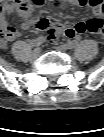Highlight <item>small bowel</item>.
<instances>
[{"label": "small bowel", "instance_id": "1", "mask_svg": "<svg viewBox=\"0 0 104 137\" xmlns=\"http://www.w3.org/2000/svg\"><path fill=\"white\" fill-rule=\"evenodd\" d=\"M44 1L45 0H7L3 4L1 7L0 25L5 30L10 27L12 28V31L8 33L3 41H1L2 47H6L8 42L15 40L20 35L17 30L8 25L6 15L12 11H18L22 29H29L32 26H36L37 28L41 29L39 27L40 23H44L45 26L52 25L51 21L44 14L38 18L32 16L33 9L41 6ZM55 2L58 4H72L79 7H89L97 15L95 18H100L104 12L103 0H55ZM88 21H80L67 27L73 28L79 34L89 33L91 35H96L84 30L86 22ZM57 27L64 28L62 26Z\"/></svg>", "mask_w": 104, "mask_h": 137}]
</instances>
